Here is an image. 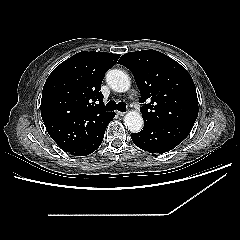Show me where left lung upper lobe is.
Masks as SVG:
<instances>
[{"mask_svg":"<svg viewBox=\"0 0 240 240\" xmlns=\"http://www.w3.org/2000/svg\"><path fill=\"white\" fill-rule=\"evenodd\" d=\"M119 63L134 74L141 90L145 123H192L198 99L192 77L178 62L156 50L124 54Z\"/></svg>","mask_w":240,"mask_h":240,"instance_id":"obj_1","label":"left lung upper lobe"}]
</instances>
